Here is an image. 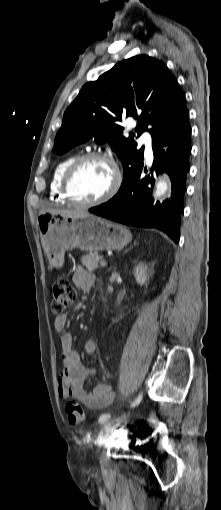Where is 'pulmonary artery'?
Segmentation results:
<instances>
[{"label":"pulmonary artery","mask_w":221,"mask_h":510,"mask_svg":"<svg viewBox=\"0 0 221 510\" xmlns=\"http://www.w3.org/2000/svg\"><path fill=\"white\" fill-rule=\"evenodd\" d=\"M139 143L145 147L146 157L151 158L153 153L150 134L148 132L143 133L139 139Z\"/></svg>","instance_id":"1"}]
</instances>
